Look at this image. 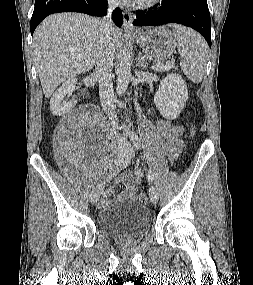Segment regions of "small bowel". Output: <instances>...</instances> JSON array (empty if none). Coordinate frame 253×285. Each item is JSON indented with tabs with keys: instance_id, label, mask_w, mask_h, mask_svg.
Returning <instances> with one entry per match:
<instances>
[{
	"instance_id": "obj_1",
	"label": "small bowel",
	"mask_w": 253,
	"mask_h": 285,
	"mask_svg": "<svg viewBox=\"0 0 253 285\" xmlns=\"http://www.w3.org/2000/svg\"><path fill=\"white\" fill-rule=\"evenodd\" d=\"M156 130L164 138V149L171 160H176L183 148L182 127L172 121L160 118L156 122ZM141 179L140 172H136L135 178L121 176L118 183L125 185V190L117 197L118 201L133 200L136 196L137 184ZM114 195V189L108 188L100 201V205L105 207L110 204V199Z\"/></svg>"
}]
</instances>
